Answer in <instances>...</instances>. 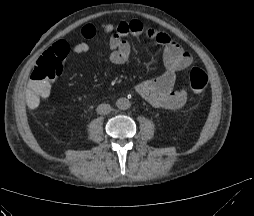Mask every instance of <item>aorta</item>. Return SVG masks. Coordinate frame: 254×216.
I'll use <instances>...</instances> for the list:
<instances>
[{
	"mask_svg": "<svg viewBox=\"0 0 254 216\" xmlns=\"http://www.w3.org/2000/svg\"><path fill=\"white\" fill-rule=\"evenodd\" d=\"M116 106L119 110H127L130 108L131 103L127 98H119L116 101Z\"/></svg>",
	"mask_w": 254,
	"mask_h": 216,
	"instance_id": "762f6f07",
	"label": "aorta"
}]
</instances>
